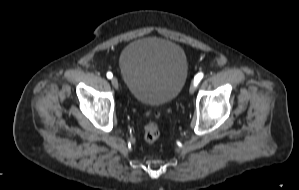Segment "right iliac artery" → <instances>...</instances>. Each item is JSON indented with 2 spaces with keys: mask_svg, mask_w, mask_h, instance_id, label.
Wrapping results in <instances>:
<instances>
[{
  "mask_svg": "<svg viewBox=\"0 0 299 190\" xmlns=\"http://www.w3.org/2000/svg\"><path fill=\"white\" fill-rule=\"evenodd\" d=\"M113 77V74L111 72L107 73V78L111 79Z\"/></svg>",
  "mask_w": 299,
  "mask_h": 190,
  "instance_id": "obj_1",
  "label": "right iliac artery"
}]
</instances>
